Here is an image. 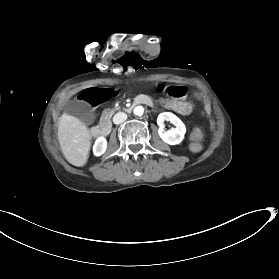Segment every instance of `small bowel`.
<instances>
[{
    "label": "small bowel",
    "mask_w": 279,
    "mask_h": 279,
    "mask_svg": "<svg viewBox=\"0 0 279 279\" xmlns=\"http://www.w3.org/2000/svg\"><path fill=\"white\" fill-rule=\"evenodd\" d=\"M158 86L172 99H183L188 94V88L183 84L161 82Z\"/></svg>",
    "instance_id": "1"
}]
</instances>
